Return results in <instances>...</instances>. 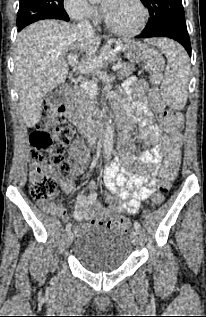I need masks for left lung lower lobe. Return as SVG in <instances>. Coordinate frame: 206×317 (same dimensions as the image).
<instances>
[{
  "label": "left lung lower lobe",
  "mask_w": 206,
  "mask_h": 317,
  "mask_svg": "<svg viewBox=\"0 0 206 317\" xmlns=\"http://www.w3.org/2000/svg\"><path fill=\"white\" fill-rule=\"evenodd\" d=\"M149 37H167L179 42L188 52L191 57L190 39L186 26L176 24H165L158 26L151 30H145L141 35L136 38H149Z\"/></svg>",
  "instance_id": "left-lung-lower-lobe-1"
}]
</instances>
